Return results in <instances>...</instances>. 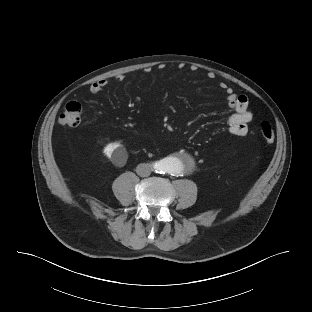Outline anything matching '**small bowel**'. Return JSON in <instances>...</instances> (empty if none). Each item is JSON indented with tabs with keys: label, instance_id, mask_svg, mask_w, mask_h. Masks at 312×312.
Masks as SVG:
<instances>
[{
	"label": "small bowel",
	"instance_id": "c3829d8e",
	"mask_svg": "<svg viewBox=\"0 0 312 312\" xmlns=\"http://www.w3.org/2000/svg\"><path fill=\"white\" fill-rule=\"evenodd\" d=\"M213 73L208 74V78L212 79ZM123 75L116 76L117 81H122ZM109 83L108 79H101L94 82L89 91L92 95L99 94ZM221 90L226 95L228 106L234 110V113L228 119V129L230 134L238 137L245 136L248 133V124L253 118L252 112L248 108V98L245 95H237L233 89L226 83L220 84Z\"/></svg>",
	"mask_w": 312,
	"mask_h": 312
}]
</instances>
